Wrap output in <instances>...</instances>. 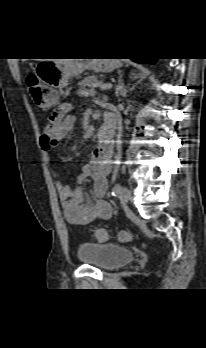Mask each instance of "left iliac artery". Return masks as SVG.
Listing matches in <instances>:
<instances>
[{
    "mask_svg": "<svg viewBox=\"0 0 206 348\" xmlns=\"http://www.w3.org/2000/svg\"><path fill=\"white\" fill-rule=\"evenodd\" d=\"M121 192V185L120 184H116L113 189H112V195L114 197H117Z\"/></svg>",
    "mask_w": 206,
    "mask_h": 348,
    "instance_id": "left-iliac-artery-1",
    "label": "left iliac artery"
}]
</instances>
